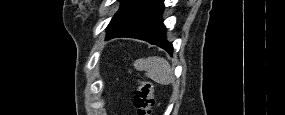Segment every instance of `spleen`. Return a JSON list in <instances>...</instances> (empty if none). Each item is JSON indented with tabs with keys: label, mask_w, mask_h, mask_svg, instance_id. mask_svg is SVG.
Masks as SVG:
<instances>
[{
	"label": "spleen",
	"mask_w": 285,
	"mask_h": 115,
	"mask_svg": "<svg viewBox=\"0 0 285 115\" xmlns=\"http://www.w3.org/2000/svg\"><path fill=\"white\" fill-rule=\"evenodd\" d=\"M134 67L144 71L147 77L161 85H169L174 81L173 70L165 58L153 56L137 59Z\"/></svg>",
	"instance_id": "1"
}]
</instances>
